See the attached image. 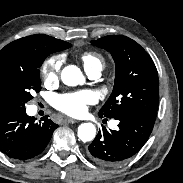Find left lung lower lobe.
<instances>
[{
  "label": "left lung lower lobe",
  "mask_w": 183,
  "mask_h": 183,
  "mask_svg": "<svg viewBox=\"0 0 183 183\" xmlns=\"http://www.w3.org/2000/svg\"><path fill=\"white\" fill-rule=\"evenodd\" d=\"M114 119L119 121L118 128L108 131L102 127L87 151L91 160L103 166H115L135 155L148 140L155 123V119L136 113Z\"/></svg>",
  "instance_id": "left-lung-lower-lobe-1"
}]
</instances>
